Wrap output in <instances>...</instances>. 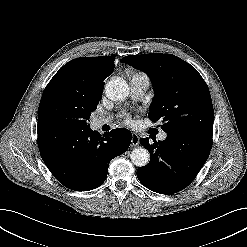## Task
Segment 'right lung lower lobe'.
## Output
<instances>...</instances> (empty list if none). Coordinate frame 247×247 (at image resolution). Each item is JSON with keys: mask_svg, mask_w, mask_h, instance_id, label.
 <instances>
[{"mask_svg": "<svg viewBox=\"0 0 247 247\" xmlns=\"http://www.w3.org/2000/svg\"><path fill=\"white\" fill-rule=\"evenodd\" d=\"M38 147L53 176L65 187L88 191L106 179L109 162L123 154L131 143L129 130L99 132L73 129L48 119H38Z\"/></svg>", "mask_w": 247, "mask_h": 247, "instance_id": "right-lung-lower-lobe-1", "label": "right lung lower lobe"}]
</instances>
